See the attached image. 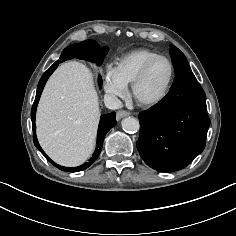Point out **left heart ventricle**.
Returning <instances> with one entry per match:
<instances>
[{"instance_id":"b2bd125f","label":"left heart ventricle","mask_w":236,"mask_h":236,"mask_svg":"<svg viewBox=\"0 0 236 236\" xmlns=\"http://www.w3.org/2000/svg\"><path fill=\"white\" fill-rule=\"evenodd\" d=\"M170 77V66L166 60H159L149 69L138 88V94L144 99L158 97L165 89Z\"/></svg>"}]
</instances>
